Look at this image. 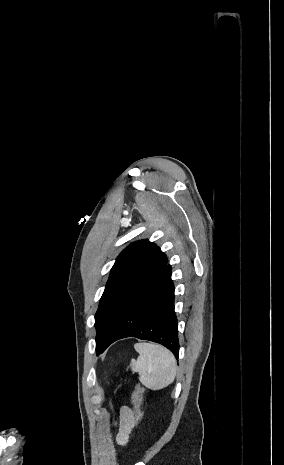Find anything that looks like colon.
<instances>
[{
  "label": "colon",
  "mask_w": 284,
  "mask_h": 465,
  "mask_svg": "<svg viewBox=\"0 0 284 465\" xmlns=\"http://www.w3.org/2000/svg\"><path fill=\"white\" fill-rule=\"evenodd\" d=\"M143 394H144V391L141 388V386L136 385L134 388L133 396H132V404L139 417H141L143 414ZM123 449L126 452L130 449V446L128 444H125L123 446ZM123 449L119 450L120 454L124 453ZM118 456H123V455H118Z\"/></svg>",
  "instance_id": "5ec220e1"
}]
</instances>
